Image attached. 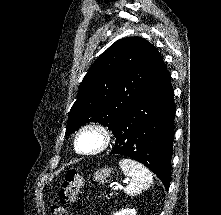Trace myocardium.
Returning a JSON list of instances; mask_svg holds the SVG:
<instances>
[{
	"instance_id": "f54148a6",
	"label": "myocardium",
	"mask_w": 221,
	"mask_h": 215,
	"mask_svg": "<svg viewBox=\"0 0 221 215\" xmlns=\"http://www.w3.org/2000/svg\"><path fill=\"white\" fill-rule=\"evenodd\" d=\"M88 131L97 132L101 137V144L95 150L83 151L79 147V139L85 132H88ZM112 140H113V134L107 126L98 122H92V123H88L82 126L77 131V133L75 134L73 143H74V148L77 153L81 155H86V156H94V155H98L106 151L110 147Z\"/></svg>"
}]
</instances>
